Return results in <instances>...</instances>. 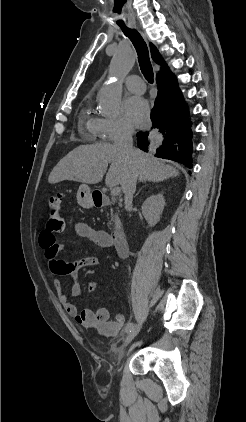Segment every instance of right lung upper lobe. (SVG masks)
I'll return each instance as SVG.
<instances>
[{"label": "right lung upper lobe", "instance_id": "obj_1", "mask_svg": "<svg viewBox=\"0 0 246 422\" xmlns=\"http://www.w3.org/2000/svg\"><path fill=\"white\" fill-rule=\"evenodd\" d=\"M150 50H151V56H152L153 61L159 65L161 64L160 71L157 74L156 78H166V77L173 76L169 68L165 64L163 58L159 54L157 48L153 44H150Z\"/></svg>", "mask_w": 246, "mask_h": 422}]
</instances>
